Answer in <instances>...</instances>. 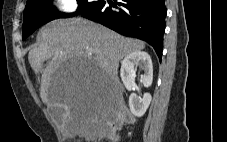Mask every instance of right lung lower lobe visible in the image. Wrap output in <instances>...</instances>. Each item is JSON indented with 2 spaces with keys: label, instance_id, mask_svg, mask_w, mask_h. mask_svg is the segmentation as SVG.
Instances as JSON below:
<instances>
[{
  "label": "right lung lower lobe",
  "instance_id": "obj_1",
  "mask_svg": "<svg viewBox=\"0 0 227 142\" xmlns=\"http://www.w3.org/2000/svg\"><path fill=\"white\" fill-rule=\"evenodd\" d=\"M109 0L87 8L82 16L110 29L148 42L162 57L165 16L164 0Z\"/></svg>",
  "mask_w": 227,
  "mask_h": 142
}]
</instances>
